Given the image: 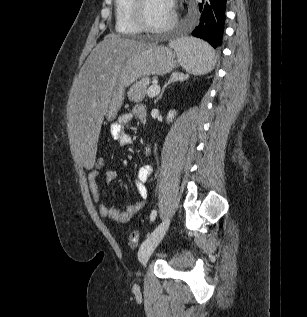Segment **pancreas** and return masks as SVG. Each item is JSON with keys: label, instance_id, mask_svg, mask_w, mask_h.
Returning a JSON list of instances; mask_svg holds the SVG:
<instances>
[{"label": "pancreas", "instance_id": "obj_1", "mask_svg": "<svg viewBox=\"0 0 307 317\" xmlns=\"http://www.w3.org/2000/svg\"><path fill=\"white\" fill-rule=\"evenodd\" d=\"M151 83L149 77H144L134 83L129 89L127 95L128 99L132 102H141L148 95V85Z\"/></svg>", "mask_w": 307, "mask_h": 317}]
</instances>
